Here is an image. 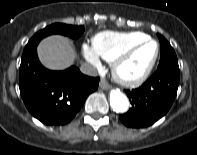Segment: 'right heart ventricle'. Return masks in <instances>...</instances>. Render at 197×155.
Returning a JSON list of instances; mask_svg holds the SVG:
<instances>
[{"mask_svg": "<svg viewBox=\"0 0 197 155\" xmlns=\"http://www.w3.org/2000/svg\"><path fill=\"white\" fill-rule=\"evenodd\" d=\"M147 37L142 32L105 31L95 35L92 44L94 51L99 57L112 62L126 48Z\"/></svg>", "mask_w": 197, "mask_h": 155, "instance_id": "right-heart-ventricle-1", "label": "right heart ventricle"}]
</instances>
